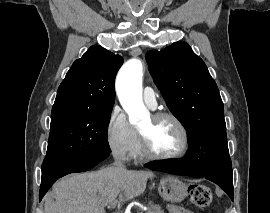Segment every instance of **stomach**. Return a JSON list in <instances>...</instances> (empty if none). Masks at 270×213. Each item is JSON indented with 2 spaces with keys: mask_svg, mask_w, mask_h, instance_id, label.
<instances>
[{
  "mask_svg": "<svg viewBox=\"0 0 270 213\" xmlns=\"http://www.w3.org/2000/svg\"><path fill=\"white\" fill-rule=\"evenodd\" d=\"M187 185L175 176H165L158 184L160 196L173 203L182 201L187 195Z\"/></svg>",
  "mask_w": 270,
  "mask_h": 213,
  "instance_id": "stomach-1",
  "label": "stomach"
}]
</instances>
